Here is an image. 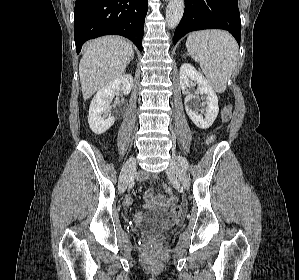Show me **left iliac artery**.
<instances>
[{
    "instance_id": "44dca946",
    "label": "left iliac artery",
    "mask_w": 299,
    "mask_h": 280,
    "mask_svg": "<svg viewBox=\"0 0 299 280\" xmlns=\"http://www.w3.org/2000/svg\"><path fill=\"white\" fill-rule=\"evenodd\" d=\"M178 161L180 162V164H181L182 167H184L185 169L188 168V163H187V161L184 158L178 157Z\"/></svg>"
}]
</instances>
